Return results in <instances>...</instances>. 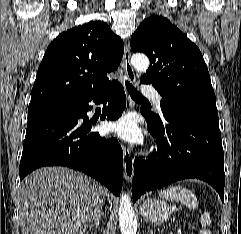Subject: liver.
I'll use <instances>...</instances> for the list:
<instances>
[{
	"label": "liver",
	"mask_w": 241,
	"mask_h": 234,
	"mask_svg": "<svg viewBox=\"0 0 241 234\" xmlns=\"http://www.w3.org/2000/svg\"><path fill=\"white\" fill-rule=\"evenodd\" d=\"M107 194L98 182L72 169H38L19 188L21 234H83Z\"/></svg>",
	"instance_id": "liver-1"
}]
</instances>
